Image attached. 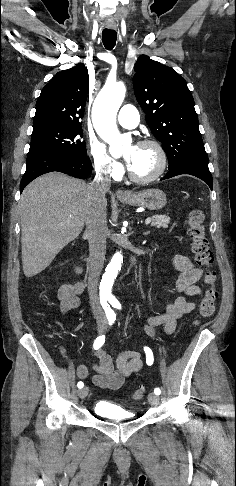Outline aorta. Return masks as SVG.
Returning a JSON list of instances; mask_svg holds the SVG:
<instances>
[{"label": "aorta", "mask_w": 236, "mask_h": 486, "mask_svg": "<svg viewBox=\"0 0 236 486\" xmlns=\"http://www.w3.org/2000/svg\"><path fill=\"white\" fill-rule=\"evenodd\" d=\"M126 93L123 83H106L98 94L92 110L94 127L99 136L109 144V152L113 155L120 152L123 147L124 137L120 134L116 125V115ZM123 256L117 252L107 265L106 271L100 283V295L110 296L114 280L121 268Z\"/></svg>", "instance_id": "obj_1"}]
</instances>
